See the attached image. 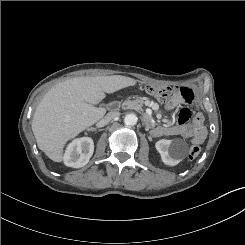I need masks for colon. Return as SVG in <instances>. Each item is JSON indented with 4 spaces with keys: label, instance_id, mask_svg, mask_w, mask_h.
Segmentation results:
<instances>
[{
    "label": "colon",
    "instance_id": "5ec220e1",
    "mask_svg": "<svg viewBox=\"0 0 245 245\" xmlns=\"http://www.w3.org/2000/svg\"><path fill=\"white\" fill-rule=\"evenodd\" d=\"M146 91L148 94L152 95L159 101L168 100L172 94L171 88L165 87V86L148 85L146 87ZM200 152H201V147L199 145H196V144L192 145L189 149V154H188L189 159L192 160V159L197 158Z\"/></svg>",
    "mask_w": 245,
    "mask_h": 245
}]
</instances>
